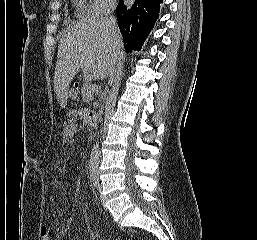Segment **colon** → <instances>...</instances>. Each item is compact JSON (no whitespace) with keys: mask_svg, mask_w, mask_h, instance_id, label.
Segmentation results:
<instances>
[{"mask_svg":"<svg viewBox=\"0 0 257 240\" xmlns=\"http://www.w3.org/2000/svg\"><path fill=\"white\" fill-rule=\"evenodd\" d=\"M70 97L72 99H76L78 96V89H77V85H75L69 93ZM40 237L42 240H51L50 239V234H49V230L46 226H42L41 230H40Z\"/></svg>","mask_w":257,"mask_h":240,"instance_id":"1","label":"colon"}]
</instances>
